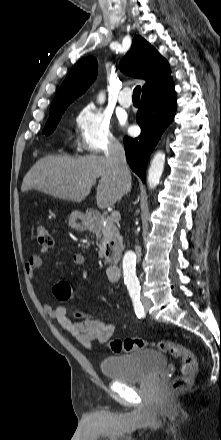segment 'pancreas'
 I'll return each mask as SVG.
<instances>
[{
  "label": "pancreas",
  "instance_id": "cf45deb5",
  "mask_svg": "<svg viewBox=\"0 0 221 440\" xmlns=\"http://www.w3.org/2000/svg\"><path fill=\"white\" fill-rule=\"evenodd\" d=\"M104 221L106 222L105 225H104ZM104 221L101 222L98 228L94 230L97 239L100 241L99 255L103 254V250L106 244H109L110 242H114L115 244L118 245L117 259H119L122 252V237L120 236V232L117 226L113 221L110 220L109 217L106 218Z\"/></svg>",
  "mask_w": 221,
  "mask_h": 440
}]
</instances>
